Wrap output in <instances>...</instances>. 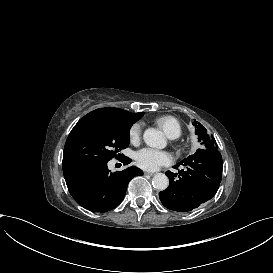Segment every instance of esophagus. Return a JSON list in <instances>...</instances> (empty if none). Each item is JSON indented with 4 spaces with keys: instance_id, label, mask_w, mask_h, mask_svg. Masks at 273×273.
<instances>
[{
    "instance_id": "obj_1",
    "label": "esophagus",
    "mask_w": 273,
    "mask_h": 273,
    "mask_svg": "<svg viewBox=\"0 0 273 273\" xmlns=\"http://www.w3.org/2000/svg\"><path fill=\"white\" fill-rule=\"evenodd\" d=\"M155 173L153 172H149V171H145L144 172V175H149V176H153Z\"/></svg>"
}]
</instances>
